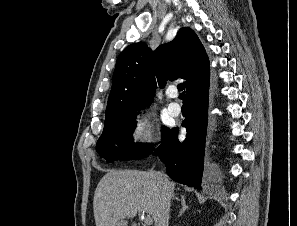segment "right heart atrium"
I'll use <instances>...</instances> for the list:
<instances>
[{
	"label": "right heart atrium",
	"instance_id": "obj_1",
	"mask_svg": "<svg viewBox=\"0 0 297 226\" xmlns=\"http://www.w3.org/2000/svg\"><path fill=\"white\" fill-rule=\"evenodd\" d=\"M132 137L136 143L142 145L151 144L155 140V135L150 124L143 119L136 120Z\"/></svg>",
	"mask_w": 297,
	"mask_h": 226
}]
</instances>
